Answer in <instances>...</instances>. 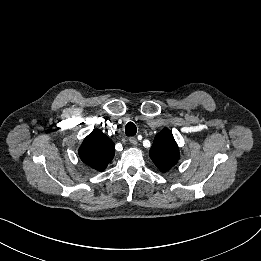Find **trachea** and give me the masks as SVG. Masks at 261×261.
<instances>
[{
    "label": "trachea",
    "instance_id": "3493384b",
    "mask_svg": "<svg viewBox=\"0 0 261 261\" xmlns=\"http://www.w3.org/2000/svg\"><path fill=\"white\" fill-rule=\"evenodd\" d=\"M125 133L127 136H134L137 133V128L134 123L128 122L125 126Z\"/></svg>",
    "mask_w": 261,
    "mask_h": 261
}]
</instances>
